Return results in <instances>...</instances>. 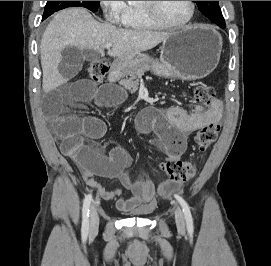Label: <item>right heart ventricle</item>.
Instances as JSON below:
<instances>
[{
    "label": "right heart ventricle",
    "instance_id": "right-heart-ventricle-1",
    "mask_svg": "<svg viewBox=\"0 0 271 266\" xmlns=\"http://www.w3.org/2000/svg\"><path fill=\"white\" fill-rule=\"evenodd\" d=\"M124 26L136 30H152L161 26L154 23L142 10L141 6L135 4L127 5L123 18Z\"/></svg>",
    "mask_w": 271,
    "mask_h": 266
}]
</instances>
